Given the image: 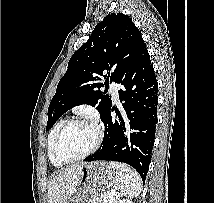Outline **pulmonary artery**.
<instances>
[{
  "label": "pulmonary artery",
  "mask_w": 214,
  "mask_h": 203,
  "mask_svg": "<svg viewBox=\"0 0 214 203\" xmlns=\"http://www.w3.org/2000/svg\"><path fill=\"white\" fill-rule=\"evenodd\" d=\"M110 92L112 94V98L115 102L119 100V86L115 82L110 84Z\"/></svg>",
  "instance_id": "pulmonary-artery-1"
}]
</instances>
